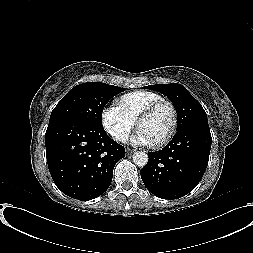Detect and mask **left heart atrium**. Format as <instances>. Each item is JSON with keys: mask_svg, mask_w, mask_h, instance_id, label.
Listing matches in <instances>:
<instances>
[{"mask_svg": "<svg viewBox=\"0 0 253 253\" xmlns=\"http://www.w3.org/2000/svg\"><path fill=\"white\" fill-rule=\"evenodd\" d=\"M131 142L135 145H150L152 144L148 136L141 130H137L135 135L131 138Z\"/></svg>", "mask_w": 253, "mask_h": 253, "instance_id": "left-heart-atrium-1", "label": "left heart atrium"}]
</instances>
